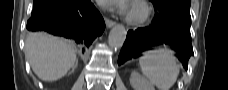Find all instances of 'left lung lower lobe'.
I'll use <instances>...</instances> for the list:
<instances>
[{
  "label": "left lung lower lobe",
  "instance_id": "0a47b994",
  "mask_svg": "<svg viewBox=\"0 0 228 90\" xmlns=\"http://www.w3.org/2000/svg\"><path fill=\"white\" fill-rule=\"evenodd\" d=\"M190 25V12H180V15H176L155 9V17L150 26L127 33L118 64L141 56V53L150 46L166 43L177 51L178 59L187 70L188 60L193 55Z\"/></svg>",
  "mask_w": 228,
  "mask_h": 90
}]
</instances>
